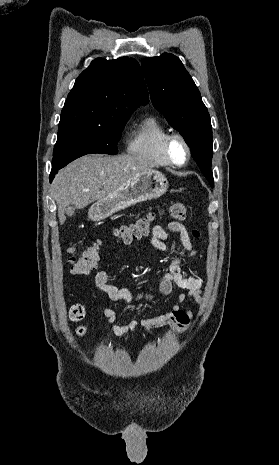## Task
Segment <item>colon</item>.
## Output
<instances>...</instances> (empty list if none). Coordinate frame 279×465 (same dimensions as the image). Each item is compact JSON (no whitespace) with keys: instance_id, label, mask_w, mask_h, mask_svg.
Returning a JSON list of instances; mask_svg holds the SVG:
<instances>
[{"instance_id":"colon-1","label":"colon","mask_w":279,"mask_h":465,"mask_svg":"<svg viewBox=\"0 0 279 465\" xmlns=\"http://www.w3.org/2000/svg\"><path fill=\"white\" fill-rule=\"evenodd\" d=\"M168 213L173 219L182 221L187 216V207L183 203H173L169 206ZM152 221L153 216L151 214L138 218L130 224L119 227L115 235L120 242L125 244L130 243L133 240L145 236L149 231ZM193 236L198 237L199 233L194 231ZM68 251L70 253L69 263L72 273L76 275H87L95 269L98 264L100 258V243L93 244L79 255L75 254V248L73 246H71ZM84 314L85 311L83 306L78 304L72 306L69 312L70 319L73 322L81 321Z\"/></svg>"}]
</instances>
